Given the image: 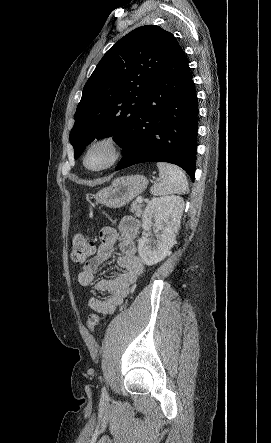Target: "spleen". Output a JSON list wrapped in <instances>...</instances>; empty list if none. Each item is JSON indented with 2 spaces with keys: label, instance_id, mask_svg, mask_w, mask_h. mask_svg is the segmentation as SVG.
Masks as SVG:
<instances>
[{
  "label": "spleen",
  "instance_id": "3e777b00",
  "mask_svg": "<svg viewBox=\"0 0 271 443\" xmlns=\"http://www.w3.org/2000/svg\"><path fill=\"white\" fill-rule=\"evenodd\" d=\"M159 184L151 188L153 196H168V194H186L188 192L187 178L181 168L158 162Z\"/></svg>",
  "mask_w": 271,
  "mask_h": 443
}]
</instances>
